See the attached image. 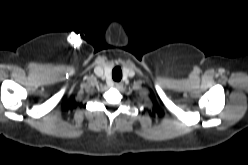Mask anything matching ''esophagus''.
I'll return each mask as SVG.
<instances>
[{
    "label": "esophagus",
    "mask_w": 248,
    "mask_h": 165,
    "mask_svg": "<svg viewBox=\"0 0 248 165\" xmlns=\"http://www.w3.org/2000/svg\"><path fill=\"white\" fill-rule=\"evenodd\" d=\"M113 86L116 88V89H121L123 87V84L121 82H115L113 84Z\"/></svg>",
    "instance_id": "1"
}]
</instances>
